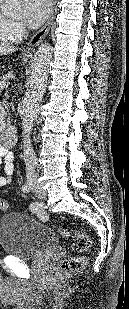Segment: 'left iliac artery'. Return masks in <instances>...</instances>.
I'll use <instances>...</instances> for the list:
<instances>
[{
	"instance_id": "obj_1",
	"label": "left iliac artery",
	"mask_w": 129,
	"mask_h": 309,
	"mask_svg": "<svg viewBox=\"0 0 129 309\" xmlns=\"http://www.w3.org/2000/svg\"><path fill=\"white\" fill-rule=\"evenodd\" d=\"M30 207H31L32 211H37L38 210V205H31Z\"/></svg>"
}]
</instances>
